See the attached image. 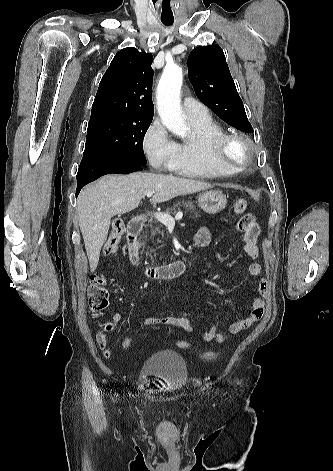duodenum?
<instances>
[{"label": "duodenum", "instance_id": "duodenum-1", "mask_svg": "<svg viewBox=\"0 0 333 471\" xmlns=\"http://www.w3.org/2000/svg\"><path fill=\"white\" fill-rule=\"evenodd\" d=\"M145 225L144 216H136L130 220L126 234L127 252L131 263L135 266L140 264V253L138 236ZM187 269V262L177 260L169 264L148 267L146 276L152 280H164L183 274Z\"/></svg>", "mask_w": 333, "mask_h": 471}]
</instances>
